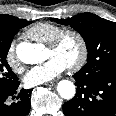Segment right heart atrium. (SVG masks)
Returning <instances> with one entry per match:
<instances>
[{
  "label": "right heart atrium",
  "mask_w": 116,
  "mask_h": 116,
  "mask_svg": "<svg viewBox=\"0 0 116 116\" xmlns=\"http://www.w3.org/2000/svg\"><path fill=\"white\" fill-rule=\"evenodd\" d=\"M5 61L7 65L16 73H21L24 69L23 63L16 51V43L12 41L5 52Z\"/></svg>",
  "instance_id": "d8ad5b80"
}]
</instances>
